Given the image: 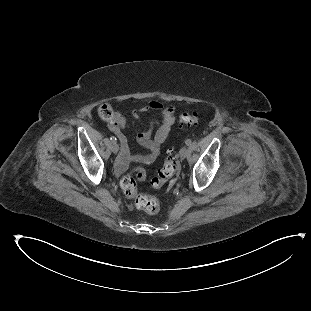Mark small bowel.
<instances>
[{"label": "small bowel", "instance_id": "c3829d8e", "mask_svg": "<svg viewBox=\"0 0 311 311\" xmlns=\"http://www.w3.org/2000/svg\"><path fill=\"white\" fill-rule=\"evenodd\" d=\"M153 111H159L161 113V119L152 121L149 128L146 131L141 132L137 137L138 143L148 150L146 154L132 152L130 150L128 140L123 133V128L125 126V119L123 117L120 116L117 126L111 128L120 142L119 162L121 165H126L129 162L150 164L158 158L161 145L168 137L170 129L175 122L174 106L164 105L159 101H152L149 104L133 109L131 111V116L134 119H138ZM154 128H156V132L152 137V131Z\"/></svg>", "mask_w": 311, "mask_h": 311}]
</instances>
